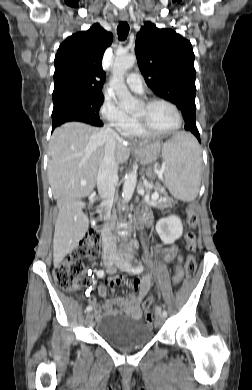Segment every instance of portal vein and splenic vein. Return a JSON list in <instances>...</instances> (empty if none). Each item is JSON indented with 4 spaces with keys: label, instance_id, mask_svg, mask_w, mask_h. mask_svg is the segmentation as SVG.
<instances>
[{
    "label": "portal vein and splenic vein",
    "instance_id": "1",
    "mask_svg": "<svg viewBox=\"0 0 252 390\" xmlns=\"http://www.w3.org/2000/svg\"><path fill=\"white\" fill-rule=\"evenodd\" d=\"M155 172H156L157 174L161 173V171H155ZM85 184H86L85 181H81V185H85ZM145 185L148 186V187H151V185L148 184L147 182H145ZM152 197H153L154 199H158V198H159V195H158V193H154V194L152 195Z\"/></svg>",
    "mask_w": 252,
    "mask_h": 390
}]
</instances>
